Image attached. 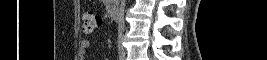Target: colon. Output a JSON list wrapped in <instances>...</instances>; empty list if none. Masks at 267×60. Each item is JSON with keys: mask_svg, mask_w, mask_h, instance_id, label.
<instances>
[{"mask_svg": "<svg viewBox=\"0 0 267 60\" xmlns=\"http://www.w3.org/2000/svg\"><path fill=\"white\" fill-rule=\"evenodd\" d=\"M82 20L84 32L91 33L101 25L102 18L100 14L89 9L83 13Z\"/></svg>", "mask_w": 267, "mask_h": 60, "instance_id": "1", "label": "colon"}]
</instances>
